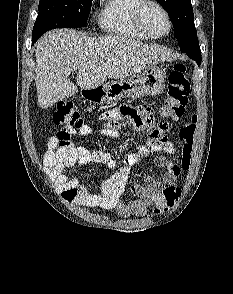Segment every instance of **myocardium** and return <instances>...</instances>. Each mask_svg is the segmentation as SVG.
Instances as JSON below:
<instances>
[{
	"label": "myocardium",
	"instance_id": "f54148a6",
	"mask_svg": "<svg viewBox=\"0 0 233 294\" xmlns=\"http://www.w3.org/2000/svg\"><path fill=\"white\" fill-rule=\"evenodd\" d=\"M148 7H156L159 9L165 16L168 24L167 31L163 34H153L145 25L144 22V13ZM134 20L137 25V27L147 36H149L152 39H159L163 38L170 34L173 28V22L170 13L168 10L158 1L156 0H140V3L137 5L135 11H134Z\"/></svg>",
	"mask_w": 233,
	"mask_h": 294
}]
</instances>
